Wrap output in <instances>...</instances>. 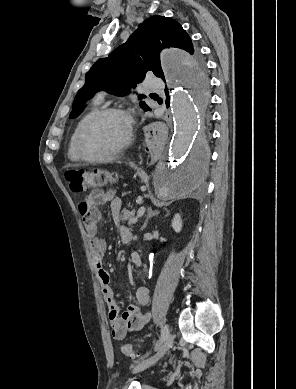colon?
<instances>
[{
  "label": "colon",
  "mask_w": 296,
  "mask_h": 389,
  "mask_svg": "<svg viewBox=\"0 0 296 389\" xmlns=\"http://www.w3.org/2000/svg\"><path fill=\"white\" fill-rule=\"evenodd\" d=\"M65 180L70 189L75 192H87L93 187L105 186L116 181L115 174L107 170H85L72 168L65 172ZM121 352L130 358L136 356L134 347L125 343L121 346Z\"/></svg>",
  "instance_id": "1"
}]
</instances>
